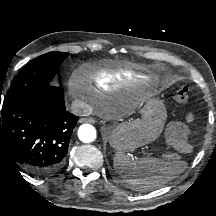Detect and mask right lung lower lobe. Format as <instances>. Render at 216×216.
<instances>
[{"mask_svg": "<svg viewBox=\"0 0 216 216\" xmlns=\"http://www.w3.org/2000/svg\"><path fill=\"white\" fill-rule=\"evenodd\" d=\"M78 119L66 111L61 89L46 86L32 92L2 107L0 156L33 176L53 175L65 161Z\"/></svg>", "mask_w": 216, "mask_h": 216, "instance_id": "right-lung-lower-lobe-1", "label": "right lung lower lobe"}]
</instances>
